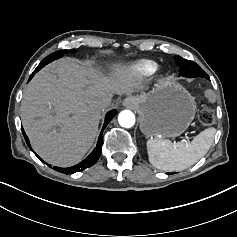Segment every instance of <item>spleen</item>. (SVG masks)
Masks as SVG:
<instances>
[{"label": "spleen", "mask_w": 237, "mask_h": 237, "mask_svg": "<svg viewBox=\"0 0 237 237\" xmlns=\"http://www.w3.org/2000/svg\"><path fill=\"white\" fill-rule=\"evenodd\" d=\"M216 129L207 128L195 136L191 143H172L168 139H149V162L157 169L182 171L198 162L210 149Z\"/></svg>", "instance_id": "3e777b00"}]
</instances>
